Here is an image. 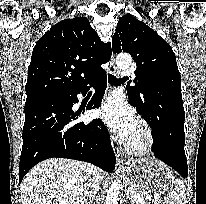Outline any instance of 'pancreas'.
<instances>
[{
    "mask_svg": "<svg viewBox=\"0 0 206 204\" xmlns=\"http://www.w3.org/2000/svg\"><path fill=\"white\" fill-rule=\"evenodd\" d=\"M139 195V197L142 199V196L140 195V194H138ZM131 200H132V203L133 202H137V199H135V198H131Z\"/></svg>",
    "mask_w": 206,
    "mask_h": 204,
    "instance_id": "obj_1",
    "label": "pancreas"
}]
</instances>
